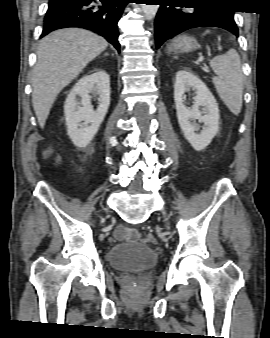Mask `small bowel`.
Instances as JSON below:
<instances>
[{
    "mask_svg": "<svg viewBox=\"0 0 270 338\" xmlns=\"http://www.w3.org/2000/svg\"><path fill=\"white\" fill-rule=\"evenodd\" d=\"M116 235L119 238H128L132 240L137 238L136 230L132 228H119L116 232Z\"/></svg>",
    "mask_w": 270,
    "mask_h": 338,
    "instance_id": "c3829d8e",
    "label": "small bowel"
}]
</instances>
